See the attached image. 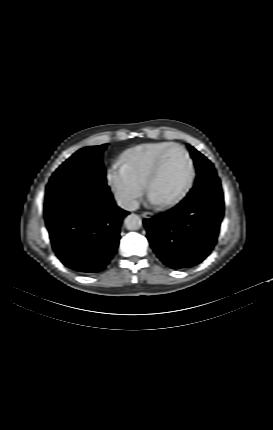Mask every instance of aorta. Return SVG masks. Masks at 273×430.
<instances>
[{
    "label": "aorta",
    "mask_w": 273,
    "mask_h": 430,
    "mask_svg": "<svg viewBox=\"0 0 273 430\" xmlns=\"http://www.w3.org/2000/svg\"><path fill=\"white\" fill-rule=\"evenodd\" d=\"M124 224L128 230H138L142 226V220L138 215L130 214L125 218Z\"/></svg>",
    "instance_id": "762f6f07"
}]
</instances>
